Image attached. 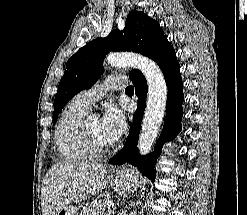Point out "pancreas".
<instances>
[{
    "mask_svg": "<svg viewBox=\"0 0 247 215\" xmlns=\"http://www.w3.org/2000/svg\"><path fill=\"white\" fill-rule=\"evenodd\" d=\"M107 202L101 200H94L83 207V215H111L113 209L106 205Z\"/></svg>",
    "mask_w": 247,
    "mask_h": 215,
    "instance_id": "obj_1",
    "label": "pancreas"
}]
</instances>
